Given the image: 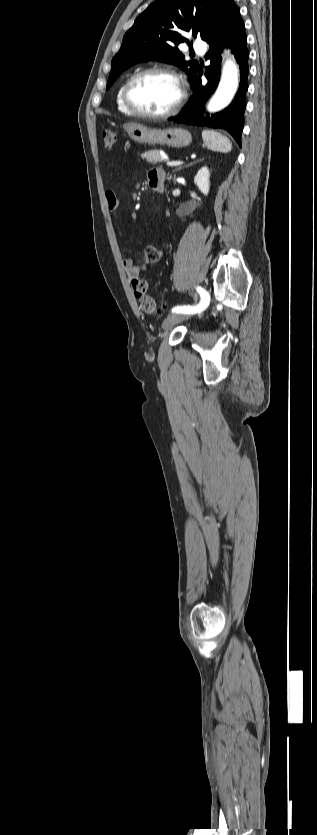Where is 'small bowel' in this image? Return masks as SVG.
Instances as JSON below:
<instances>
[{
  "label": "small bowel",
  "instance_id": "small-bowel-1",
  "mask_svg": "<svg viewBox=\"0 0 317 835\" xmlns=\"http://www.w3.org/2000/svg\"><path fill=\"white\" fill-rule=\"evenodd\" d=\"M166 181V174L162 169L155 168L151 169L148 173V182L151 186V183L156 182L162 188H164V184ZM105 199L107 203V207L111 212H115L118 209L119 203L116 194L113 191H107L105 193ZM150 245L146 246L143 253V264L138 265L132 259L125 258L122 260L123 267L129 277L139 276L142 271H144L150 264L154 261L148 258V248Z\"/></svg>",
  "mask_w": 317,
  "mask_h": 835
}]
</instances>
